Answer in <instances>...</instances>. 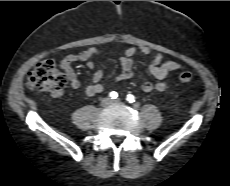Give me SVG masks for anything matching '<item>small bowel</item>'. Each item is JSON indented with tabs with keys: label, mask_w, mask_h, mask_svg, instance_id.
I'll return each mask as SVG.
<instances>
[{
	"label": "small bowel",
	"mask_w": 230,
	"mask_h": 186,
	"mask_svg": "<svg viewBox=\"0 0 230 186\" xmlns=\"http://www.w3.org/2000/svg\"><path fill=\"white\" fill-rule=\"evenodd\" d=\"M137 52H141L146 56H151L149 63V72L157 80L145 81L142 84V90L146 93L153 91L162 92L169 88L167 82V77L169 73L176 71L181 68V64L174 60L168 59L165 60V56L162 52H157L152 54V50L147 46L129 47L126 51L120 56V66L121 72L117 74L114 78V82H120L123 80L131 79L134 76L133 66H134V57ZM100 51L95 47H89L76 54H68L64 56L60 61V66L64 71L70 86L72 89L77 90L80 88L81 83L73 69V64L76 62H84L87 67L93 71L91 82L84 88V95L91 97L97 94H100L103 91V85L101 80L104 76V71L102 69H97L94 63V58L99 56ZM61 92L55 96H60Z\"/></svg>",
	"instance_id": "obj_1"
}]
</instances>
